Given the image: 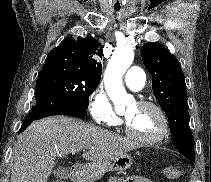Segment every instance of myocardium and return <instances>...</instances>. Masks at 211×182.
I'll use <instances>...</instances> for the list:
<instances>
[{"label":"myocardium","instance_id":"1","mask_svg":"<svg viewBox=\"0 0 211 182\" xmlns=\"http://www.w3.org/2000/svg\"><path fill=\"white\" fill-rule=\"evenodd\" d=\"M136 105L138 107H143V108H151L153 110H155L158 114V116L160 117L161 120V129L160 131L153 137L150 138H142L137 136L136 134H134L132 132V130L130 129L126 119L124 120V130L126 135L131 138L132 140L136 141L139 144L142 145H154L159 143L160 141H162L168 134L169 132V120L168 117L166 115V113L164 112V110L157 105L156 103H153L151 101H138L136 103Z\"/></svg>","mask_w":211,"mask_h":182}]
</instances>
